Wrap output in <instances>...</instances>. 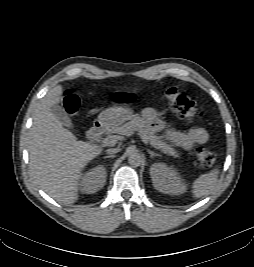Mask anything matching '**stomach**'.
Instances as JSON below:
<instances>
[{"instance_id":"1","label":"stomach","mask_w":254,"mask_h":267,"mask_svg":"<svg viewBox=\"0 0 254 267\" xmlns=\"http://www.w3.org/2000/svg\"><path fill=\"white\" fill-rule=\"evenodd\" d=\"M134 117L133 111L127 107H113L103 110L98 116V123L105 128L120 126Z\"/></svg>"}]
</instances>
